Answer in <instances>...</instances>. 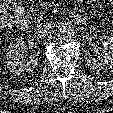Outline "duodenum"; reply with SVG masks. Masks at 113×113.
I'll list each match as a JSON object with an SVG mask.
<instances>
[{
    "label": "duodenum",
    "mask_w": 113,
    "mask_h": 113,
    "mask_svg": "<svg viewBox=\"0 0 113 113\" xmlns=\"http://www.w3.org/2000/svg\"><path fill=\"white\" fill-rule=\"evenodd\" d=\"M69 17L76 21L78 24H85L86 18L82 15L75 14L73 12L69 13ZM30 20L28 17L23 16L20 20V27L23 30H26L29 27Z\"/></svg>",
    "instance_id": "obj_1"
}]
</instances>
